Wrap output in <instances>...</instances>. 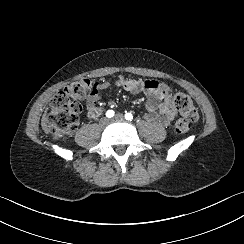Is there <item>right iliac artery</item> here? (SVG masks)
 I'll list each match as a JSON object with an SVG mask.
<instances>
[{
  "label": "right iliac artery",
  "mask_w": 244,
  "mask_h": 244,
  "mask_svg": "<svg viewBox=\"0 0 244 244\" xmlns=\"http://www.w3.org/2000/svg\"><path fill=\"white\" fill-rule=\"evenodd\" d=\"M114 114H115V112H114L113 110H108V111L106 112V117L111 118V117L114 116Z\"/></svg>",
  "instance_id": "82829eb1"
}]
</instances>
